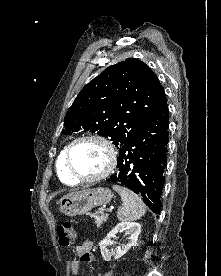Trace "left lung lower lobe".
<instances>
[{"mask_svg": "<svg viewBox=\"0 0 221 276\" xmlns=\"http://www.w3.org/2000/svg\"><path fill=\"white\" fill-rule=\"evenodd\" d=\"M168 127L169 110L166 104L119 150L118 170L108 179L140 195L155 214L161 210Z\"/></svg>", "mask_w": 221, "mask_h": 276, "instance_id": "0a47b994", "label": "left lung lower lobe"}]
</instances>
